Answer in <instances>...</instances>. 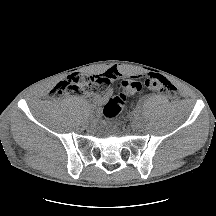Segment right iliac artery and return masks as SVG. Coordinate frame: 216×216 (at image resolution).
<instances>
[{
  "label": "right iliac artery",
  "instance_id": "right-iliac-artery-1",
  "mask_svg": "<svg viewBox=\"0 0 216 216\" xmlns=\"http://www.w3.org/2000/svg\"><path fill=\"white\" fill-rule=\"evenodd\" d=\"M93 114H92V111H87V116H92Z\"/></svg>",
  "mask_w": 216,
  "mask_h": 216
}]
</instances>
